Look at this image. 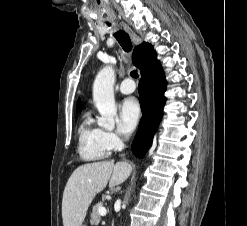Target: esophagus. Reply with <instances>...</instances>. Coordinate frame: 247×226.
Here are the masks:
<instances>
[{
  "label": "esophagus",
  "instance_id": "1",
  "mask_svg": "<svg viewBox=\"0 0 247 226\" xmlns=\"http://www.w3.org/2000/svg\"><path fill=\"white\" fill-rule=\"evenodd\" d=\"M124 28L126 29V31L129 33L130 37L132 38V40L134 41V43H138V37L137 35L132 31V29L127 26L124 25Z\"/></svg>",
  "mask_w": 247,
  "mask_h": 226
}]
</instances>
